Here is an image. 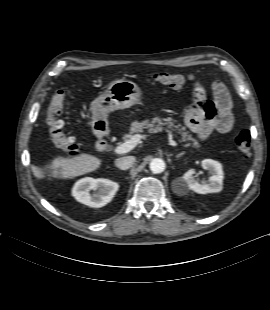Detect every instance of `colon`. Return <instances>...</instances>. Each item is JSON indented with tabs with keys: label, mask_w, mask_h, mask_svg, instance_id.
Instances as JSON below:
<instances>
[{
	"label": "colon",
	"mask_w": 270,
	"mask_h": 310,
	"mask_svg": "<svg viewBox=\"0 0 270 310\" xmlns=\"http://www.w3.org/2000/svg\"><path fill=\"white\" fill-rule=\"evenodd\" d=\"M195 78L194 75L185 77L180 74L158 73L154 80L161 85L179 89ZM66 100V92L58 90L54 93L47 109L46 122L49 127L50 137L53 142L62 149L68 156H76L79 153V145L74 137L68 136L64 132V122L58 118L61 115ZM201 108L208 113L215 112L214 104L211 101L202 103ZM236 145L239 152L244 157H249L251 151V135L247 130H243L236 136Z\"/></svg>",
	"instance_id": "1"
}]
</instances>
